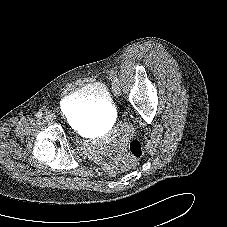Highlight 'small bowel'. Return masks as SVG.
I'll use <instances>...</instances> for the list:
<instances>
[{"instance_id":"c3829d8e","label":"small bowel","mask_w":227,"mask_h":227,"mask_svg":"<svg viewBox=\"0 0 227 227\" xmlns=\"http://www.w3.org/2000/svg\"><path fill=\"white\" fill-rule=\"evenodd\" d=\"M120 154L110 156L109 160L104 161L101 157H98V162L102 168L109 173H115L118 170V164L120 160Z\"/></svg>"}]
</instances>
